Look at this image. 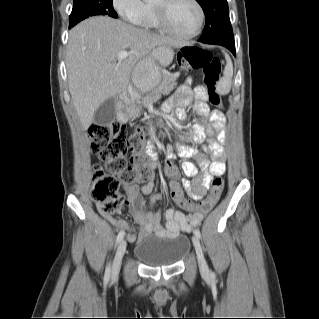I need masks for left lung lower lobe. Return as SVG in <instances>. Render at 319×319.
<instances>
[{
  "mask_svg": "<svg viewBox=\"0 0 319 319\" xmlns=\"http://www.w3.org/2000/svg\"><path fill=\"white\" fill-rule=\"evenodd\" d=\"M222 46L229 49L235 55V43L234 42H225L221 44Z\"/></svg>",
  "mask_w": 319,
  "mask_h": 319,
  "instance_id": "0a47b994",
  "label": "left lung lower lobe"
}]
</instances>
